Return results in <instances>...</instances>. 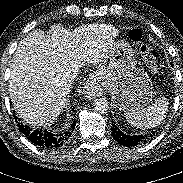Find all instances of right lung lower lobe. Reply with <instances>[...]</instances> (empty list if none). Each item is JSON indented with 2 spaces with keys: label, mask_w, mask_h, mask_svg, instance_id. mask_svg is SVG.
Segmentation results:
<instances>
[{
  "label": "right lung lower lobe",
  "mask_w": 183,
  "mask_h": 183,
  "mask_svg": "<svg viewBox=\"0 0 183 183\" xmlns=\"http://www.w3.org/2000/svg\"><path fill=\"white\" fill-rule=\"evenodd\" d=\"M18 122L19 130L35 145L42 148H58L62 147L67 141L73 129H75V121L71 125L70 129L63 134H53L47 130L32 129L28 125H24L19 122L20 119L14 116Z\"/></svg>",
  "instance_id": "right-lung-lower-lobe-1"
}]
</instances>
